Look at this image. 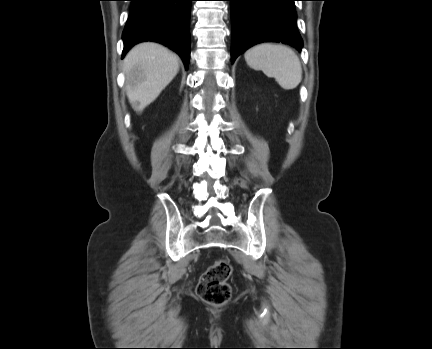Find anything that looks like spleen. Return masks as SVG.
<instances>
[{"mask_svg": "<svg viewBox=\"0 0 432 349\" xmlns=\"http://www.w3.org/2000/svg\"><path fill=\"white\" fill-rule=\"evenodd\" d=\"M244 57L251 68L262 70L285 90L296 88L302 80L300 60L285 45L262 43L246 51Z\"/></svg>", "mask_w": 432, "mask_h": 349, "instance_id": "3e777b00", "label": "spleen"}]
</instances>
